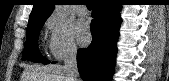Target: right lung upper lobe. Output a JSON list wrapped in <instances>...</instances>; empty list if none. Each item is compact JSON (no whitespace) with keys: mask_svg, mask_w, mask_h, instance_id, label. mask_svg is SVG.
Instances as JSON below:
<instances>
[{"mask_svg":"<svg viewBox=\"0 0 169 81\" xmlns=\"http://www.w3.org/2000/svg\"><path fill=\"white\" fill-rule=\"evenodd\" d=\"M55 0H34L33 10L29 17V23L46 20L54 10Z\"/></svg>","mask_w":169,"mask_h":81,"instance_id":"obj_1","label":"right lung upper lobe"}]
</instances>
